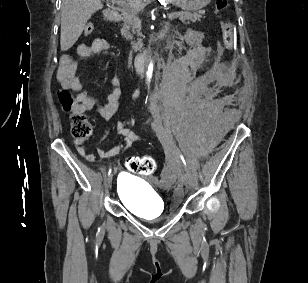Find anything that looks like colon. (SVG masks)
I'll use <instances>...</instances> for the list:
<instances>
[{
  "mask_svg": "<svg viewBox=\"0 0 308 283\" xmlns=\"http://www.w3.org/2000/svg\"><path fill=\"white\" fill-rule=\"evenodd\" d=\"M216 13L222 17V37L224 46L227 50H233L235 46V29L231 20L224 17V13L228 8L227 0H216ZM94 26L91 23L84 27V34L89 35L93 32ZM58 100L62 109L71 113L70 115V130L74 138L85 140L92 133V125L88 117L77 110L79 105L78 100L73 94L66 90L58 92ZM128 168L141 175H150L156 169L155 160L150 156H135L131 157L127 162Z\"/></svg>",
  "mask_w": 308,
  "mask_h": 283,
  "instance_id": "1",
  "label": "colon"
}]
</instances>
